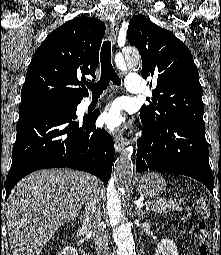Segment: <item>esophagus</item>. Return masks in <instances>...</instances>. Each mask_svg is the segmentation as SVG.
<instances>
[{"label": "esophagus", "instance_id": "34e87169", "mask_svg": "<svg viewBox=\"0 0 221 255\" xmlns=\"http://www.w3.org/2000/svg\"><path fill=\"white\" fill-rule=\"evenodd\" d=\"M118 30H119V22L117 20H112L110 23V37H111V41L113 45L116 43ZM125 145L126 143L122 135L116 134L114 136V146H115L116 152L118 153L121 152L124 149Z\"/></svg>", "mask_w": 221, "mask_h": 255}]
</instances>
